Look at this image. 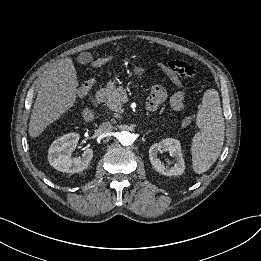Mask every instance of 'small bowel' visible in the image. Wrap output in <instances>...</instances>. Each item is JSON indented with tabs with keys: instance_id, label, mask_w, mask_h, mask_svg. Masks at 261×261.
<instances>
[{
	"instance_id": "obj_1",
	"label": "small bowel",
	"mask_w": 261,
	"mask_h": 261,
	"mask_svg": "<svg viewBox=\"0 0 261 261\" xmlns=\"http://www.w3.org/2000/svg\"><path fill=\"white\" fill-rule=\"evenodd\" d=\"M101 64H102V60L96 59V60L90 61L89 67L93 69V68L100 66ZM172 80L180 86V89L170 96L169 102H170L171 107L174 110L180 111L185 108V94H184V91L182 90V84L178 80H175L174 78H172ZM166 99H167V93H166V90L164 89V87L159 84L153 85L151 87L150 96L147 100V104H146L147 109L152 112L156 111L158 109V107ZM183 123L185 125H188L190 123V120H188L186 118V119H184Z\"/></svg>"
}]
</instances>
